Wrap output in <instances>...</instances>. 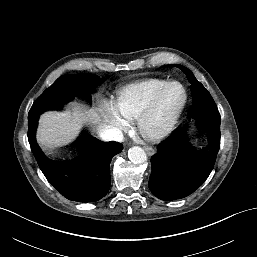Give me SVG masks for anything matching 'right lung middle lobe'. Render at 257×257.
<instances>
[{
	"label": "right lung middle lobe",
	"mask_w": 257,
	"mask_h": 257,
	"mask_svg": "<svg viewBox=\"0 0 257 257\" xmlns=\"http://www.w3.org/2000/svg\"><path fill=\"white\" fill-rule=\"evenodd\" d=\"M101 82L102 79L93 74L60 77L37 98L29 112L28 122H37L41 111L62 105L72 96H81L91 102V88L97 87Z\"/></svg>",
	"instance_id": "obj_1"
}]
</instances>
